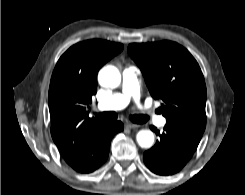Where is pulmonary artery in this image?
<instances>
[{"label":"pulmonary artery","instance_id":"e3ab8cb5","mask_svg":"<svg viewBox=\"0 0 245 195\" xmlns=\"http://www.w3.org/2000/svg\"><path fill=\"white\" fill-rule=\"evenodd\" d=\"M138 70L134 66L126 67L122 73V90L121 92L114 93L109 98L100 101L97 104L99 110H119L126 107L131 100L135 101L139 107H141L140 91L138 83ZM150 117L149 114H146ZM155 122L159 126L166 124L164 117H155Z\"/></svg>","mask_w":245,"mask_h":195}]
</instances>
